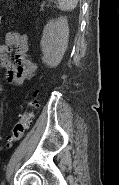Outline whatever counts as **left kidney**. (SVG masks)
I'll return each instance as SVG.
<instances>
[{
  "instance_id": "1",
  "label": "left kidney",
  "mask_w": 119,
  "mask_h": 185,
  "mask_svg": "<svg viewBox=\"0 0 119 185\" xmlns=\"http://www.w3.org/2000/svg\"><path fill=\"white\" fill-rule=\"evenodd\" d=\"M69 26L66 17L50 20L43 30L40 42L42 61L54 68L59 65L68 46Z\"/></svg>"
}]
</instances>
